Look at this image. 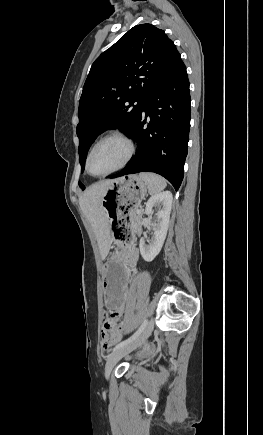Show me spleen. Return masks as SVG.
Returning a JSON list of instances; mask_svg holds the SVG:
<instances>
[{"label":"spleen","mask_w":263,"mask_h":435,"mask_svg":"<svg viewBox=\"0 0 263 435\" xmlns=\"http://www.w3.org/2000/svg\"><path fill=\"white\" fill-rule=\"evenodd\" d=\"M139 178L146 183L150 194L159 193L167 185L164 178L154 173H140Z\"/></svg>","instance_id":"1"}]
</instances>
